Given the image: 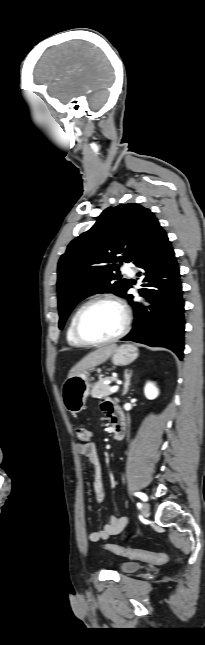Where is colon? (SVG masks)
<instances>
[{
  "label": "colon",
  "mask_w": 205,
  "mask_h": 645,
  "mask_svg": "<svg viewBox=\"0 0 205 645\" xmlns=\"http://www.w3.org/2000/svg\"><path fill=\"white\" fill-rule=\"evenodd\" d=\"M75 432L81 446H88L90 444L91 432L89 431V429L84 426L78 425L75 428ZM104 548L105 550L113 552L120 556L132 559H140L155 564H162L167 561V555L165 553H155L141 549L122 547L115 544H107Z\"/></svg>",
  "instance_id": "1"
}]
</instances>
